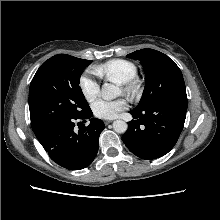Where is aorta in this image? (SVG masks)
Returning <instances> with one entry per match:
<instances>
[{
    "mask_svg": "<svg viewBox=\"0 0 220 220\" xmlns=\"http://www.w3.org/2000/svg\"><path fill=\"white\" fill-rule=\"evenodd\" d=\"M120 89L109 83H104L102 86V98L105 100H112L120 95ZM128 125L123 120H116L113 122V129L117 133H125L127 131Z\"/></svg>",
    "mask_w": 220,
    "mask_h": 220,
    "instance_id": "762f6f07",
    "label": "aorta"
}]
</instances>
